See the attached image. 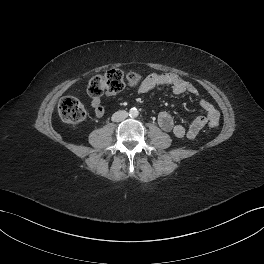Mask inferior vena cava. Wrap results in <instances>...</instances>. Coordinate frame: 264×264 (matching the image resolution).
I'll return each mask as SVG.
<instances>
[{
	"mask_svg": "<svg viewBox=\"0 0 264 264\" xmlns=\"http://www.w3.org/2000/svg\"><path fill=\"white\" fill-rule=\"evenodd\" d=\"M127 117H128V113L124 110H120V111L115 112L112 115V121L113 122H120V121L126 119Z\"/></svg>",
	"mask_w": 264,
	"mask_h": 264,
	"instance_id": "602c4592",
	"label": "inferior vena cava"
}]
</instances>
